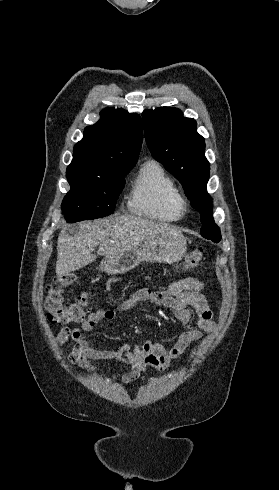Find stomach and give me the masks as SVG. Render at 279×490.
<instances>
[{
    "label": "stomach",
    "mask_w": 279,
    "mask_h": 490,
    "mask_svg": "<svg viewBox=\"0 0 279 490\" xmlns=\"http://www.w3.org/2000/svg\"><path fill=\"white\" fill-rule=\"evenodd\" d=\"M187 250L184 236L160 238L144 242L136 250H126L118 256L104 258L99 268L107 274H125L141 262H158V264H175L183 260Z\"/></svg>",
    "instance_id": "stomach-1"
}]
</instances>
